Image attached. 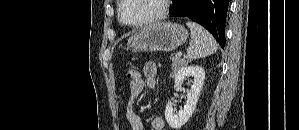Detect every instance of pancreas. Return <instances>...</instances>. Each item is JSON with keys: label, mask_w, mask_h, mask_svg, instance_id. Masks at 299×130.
<instances>
[{"label": "pancreas", "mask_w": 299, "mask_h": 130, "mask_svg": "<svg viewBox=\"0 0 299 130\" xmlns=\"http://www.w3.org/2000/svg\"><path fill=\"white\" fill-rule=\"evenodd\" d=\"M171 60H172V69L173 70L178 69L180 66H182L183 64L186 63V61L184 59H181L180 57H178L177 55H174V54H172Z\"/></svg>", "instance_id": "cf45deb5"}]
</instances>
